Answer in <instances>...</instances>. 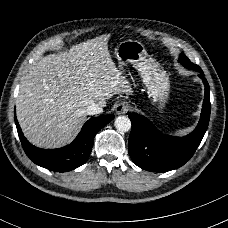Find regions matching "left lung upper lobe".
Instances as JSON below:
<instances>
[{
  "label": "left lung upper lobe",
  "instance_id": "left-lung-upper-lobe-1",
  "mask_svg": "<svg viewBox=\"0 0 228 228\" xmlns=\"http://www.w3.org/2000/svg\"><path fill=\"white\" fill-rule=\"evenodd\" d=\"M179 61L185 68L192 69L197 72H203L198 65L193 64L184 54L179 56Z\"/></svg>",
  "mask_w": 228,
  "mask_h": 228
}]
</instances>
